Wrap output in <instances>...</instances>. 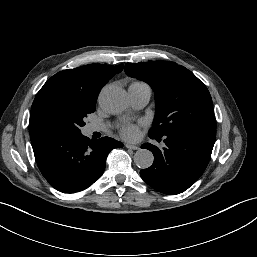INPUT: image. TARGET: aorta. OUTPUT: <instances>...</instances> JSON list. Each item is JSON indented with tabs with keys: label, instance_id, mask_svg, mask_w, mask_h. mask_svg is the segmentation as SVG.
<instances>
[{
	"label": "aorta",
	"instance_id": "1",
	"mask_svg": "<svg viewBox=\"0 0 257 257\" xmlns=\"http://www.w3.org/2000/svg\"><path fill=\"white\" fill-rule=\"evenodd\" d=\"M101 107L109 113H119L123 111L127 104L126 92L116 86H106L99 95ZM154 161L153 153L147 149H139L134 154V163L142 169L149 168Z\"/></svg>",
	"mask_w": 257,
	"mask_h": 257
}]
</instances>
